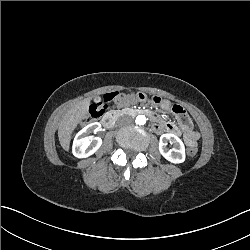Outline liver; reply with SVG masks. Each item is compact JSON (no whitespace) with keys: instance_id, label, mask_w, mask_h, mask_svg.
Masks as SVG:
<instances>
[{"instance_id":"liver-1","label":"liver","mask_w":250,"mask_h":250,"mask_svg":"<svg viewBox=\"0 0 250 250\" xmlns=\"http://www.w3.org/2000/svg\"><path fill=\"white\" fill-rule=\"evenodd\" d=\"M89 102L90 99L77 102L62 118L58 128V138L65 150L69 148L70 135L76 124L87 115Z\"/></svg>"}]
</instances>
